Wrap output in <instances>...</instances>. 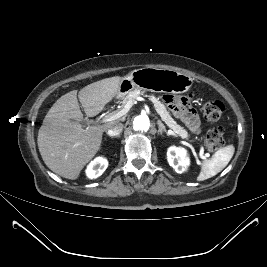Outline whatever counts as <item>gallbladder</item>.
I'll list each match as a JSON object with an SVG mask.
<instances>
[{
  "label": "gallbladder",
  "instance_id": "obj_1",
  "mask_svg": "<svg viewBox=\"0 0 267 267\" xmlns=\"http://www.w3.org/2000/svg\"><path fill=\"white\" fill-rule=\"evenodd\" d=\"M79 123H80V124H84V121H80Z\"/></svg>",
  "mask_w": 267,
  "mask_h": 267
}]
</instances>
